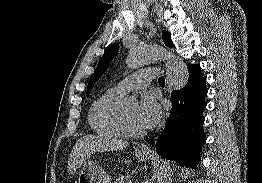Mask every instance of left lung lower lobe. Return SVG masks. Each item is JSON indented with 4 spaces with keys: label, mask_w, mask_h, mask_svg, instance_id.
<instances>
[{
    "label": "left lung lower lobe",
    "mask_w": 262,
    "mask_h": 183,
    "mask_svg": "<svg viewBox=\"0 0 262 183\" xmlns=\"http://www.w3.org/2000/svg\"><path fill=\"white\" fill-rule=\"evenodd\" d=\"M189 79L184 88L171 94L172 109L165 128L155 143L156 152L181 165L196 167L200 149L206 142L203 132L207 95L206 78L199 64H188ZM154 144L153 139L148 141Z\"/></svg>",
    "instance_id": "0a47b994"
}]
</instances>
